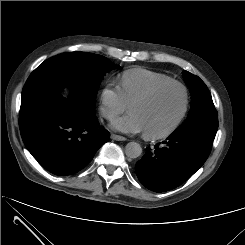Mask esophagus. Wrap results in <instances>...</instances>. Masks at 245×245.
<instances>
[{
  "label": "esophagus",
  "instance_id": "esophagus-1",
  "mask_svg": "<svg viewBox=\"0 0 245 245\" xmlns=\"http://www.w3.org/2000/svg\"><path fill=\"white\" fill-rule=\"evenodd\" d=\"M111 139L116 140V141H125L127 140L125 137L116 135V134H111Z\"/></svg>",
  "mask_w": 245,
  "mask_h": 245
}]
</instances>
